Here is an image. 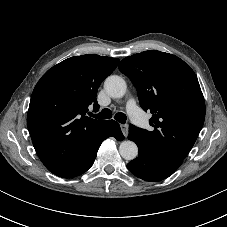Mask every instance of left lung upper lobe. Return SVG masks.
<instances>
[{
    "label": "left lung upper lobe",
    "mask_w": 227,
    "mask_h": 227,
    "mask_svg": "<svg viewBox=\"0 0 227 227\" xmlns=\"http://www.w3.org/2000/svg\"><path fill=\"white\" fill-rule=\"evenodd\" d=\"M120 71L137 89L143 110L153 114V131L137 128L155 150L183 160L205 120V102L194 71L175 55L157 50L124 58Z\"/></svg>",
    "instance_id": "5c2ea615"
}]
</instances>
